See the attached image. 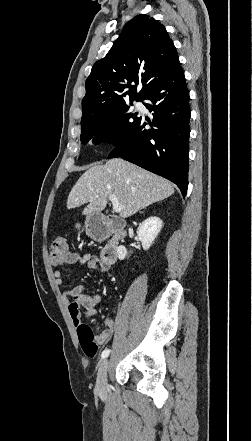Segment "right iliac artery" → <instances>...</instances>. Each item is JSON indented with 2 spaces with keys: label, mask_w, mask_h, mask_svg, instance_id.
Listing matches in <instances>:
<instances>
[{
  "label": "right iliac artery",
  "mask_w": 252,
  "mask_h": 441,
  "mask_svg": "<svg viewBox=\"0 0 252 441\" xmlns=\"http://www.w3.org/2000/svg\"><path fill=\"white\" fill-rule=\"evenodd\" d=\"M109 353H110V350H109V349H105V350L102 352V355H101L102 359L108 357V356H109Z\"/></svg>",
  "instance_id": "82829eb1"
}]
</instances>
